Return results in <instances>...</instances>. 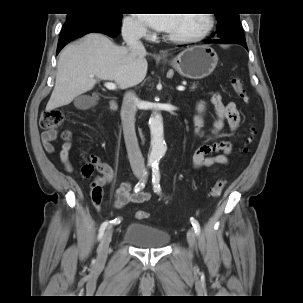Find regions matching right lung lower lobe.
Segmentation results:
<instances>
[{
	"mask_svg": "<svg viewBox=\"0 0 303 303\" xmlns=\"http://www.w3.org/2000/svg\"><path fill=\"white\" fill-rule=\"evenodd\" d=\"M121 21L95 16L75 15L64 24L57 47V54L70 41L91 32H99L110 37L120 33Z\"/></svg>",
	"mask_w": 303,
	"mask_h": 303,
	"instance_id": "obj_1",
	"label": "right lung lower lobe"
}]
</instances>
